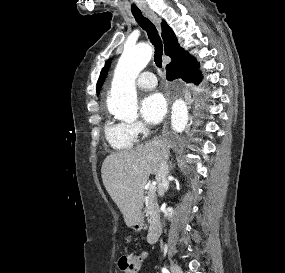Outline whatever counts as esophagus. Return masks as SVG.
Wrapping results in <instances>:
<instances>
[{
  "mask_svg": "<svg viewBox=\"0 0 285 273\" xmlns=\"http://www.w3.org/2000/svg\"><path fill=\"white\" fill-rule=\"evenodd\" d=\"M144 14L153 22V24L160 29L161 20L152 11H145Z\"/></svg>",
  "mask_w": 285,
  "mask_h": 273,
  "instance_id": "34e87169",
  "label": "esophagus"
}]
</instances>
